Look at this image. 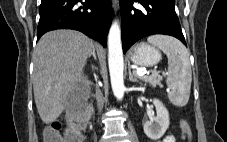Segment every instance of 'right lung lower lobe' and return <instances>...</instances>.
Masks as SVG:
<instances>
[{"label":"right lung lower lobe","mask_w":227,"mask_h":142,"mask_svg":"<svg viewBox=\"0 0 227 142\" xmlns=\"http://www.w3.org/2000/svg\"><path fill=\"white\" fill-rule=\"evenodd\" d=\"M37 39L54 29L81 31L106 46L111 0H41Z\"/></svg>","instance_id":"obj_1"}]
</instances>
